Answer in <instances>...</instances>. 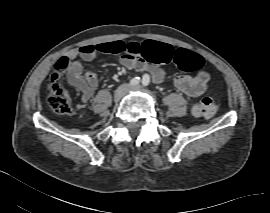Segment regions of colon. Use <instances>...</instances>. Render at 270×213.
I'll list each match as a JSON object with an SVG mask.
<instances>
[{"label":"colon","instance_id":"1","mask_svg":"<svg viewBox=\"0 0 270 213\" xmlns=\"http://www.w3.org/2000/svg\"><path fill=\"white\" fill-rule=\"evenodd\" d=\"M104 51L113 54H130L133 56L149 55V49L136 42L114 41L103 45ZM64 58L60 59V62ZM173 63L182 70L195 71L201 67L202 57L196 53L180 50ZM51 88L47 95V102L58 114H70L72 103L69 93L63 88V75L59 69H54L50 74ZM217 99L214 97H204L193 107L196 116L209 118L217 111Z\"/></svg>","mask_w":270,"mask_h":213}]
</instances>
